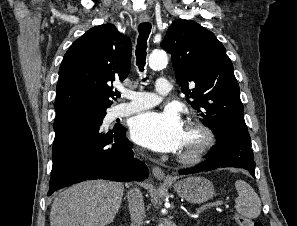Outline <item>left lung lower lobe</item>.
Returning <instances> with one entry per match:
<instances>
[{
  "label": "left lung lower lobe",
  "instance_id": "obj_1",
  "mask_svg": "<svg viewBox=\"0 0 297 226\" xmlns=\"http://www.w3.org/2000/svg\"><path fill=\"white\" fill-rule=\"evenodd\" d=\"M216 145L206 155L207 160L193 168L182 169L181 175L210 171L221 167H241L255 177V162L249 133L225 132L215 135Z\"/></svg>",
  "mask_w": 297,
  "mask_h": 226
}]
</instances>
